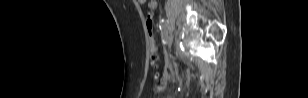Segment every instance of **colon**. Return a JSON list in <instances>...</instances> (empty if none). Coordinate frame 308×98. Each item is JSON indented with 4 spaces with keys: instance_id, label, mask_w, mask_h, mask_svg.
Here are the masks:
<instances>
[{
    "instance_id": "obj_1",
    "label": "colon",
    "mask_w": 308,
    "mask_h": 98,
    "mask_svg": "<svg viewBox=\"0 0 308 98\" xmlns=\"http://www.w3.org/2000/svg\"><path fill=\"white\" fill-rule=\"evenodd\" d=\"M146 27H147V31H148L151 47H152L151 62H152V64L155 65L157 63V61H158V56H157V54L155 52L154 23H153V18H152L151 14L147 15Z\"/></svg>"
}]
</instances>
